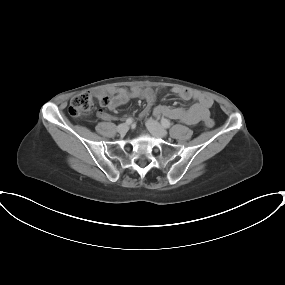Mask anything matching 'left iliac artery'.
Here are the masks:
<instances>
[{"mask_svg":"<svg viewBox=\"0 0 285 285\" xmlns=\"http://www.w3.org/2000/svg\"><path fill=\"white\" fill-rule=\"evenodd\" d=\"M161 124L164 128H170L171 127V123L169 120L162 118L161 119Z\"/></svg>","mask_w":285,"mask_h":285,"instance_id":"left-iliac-artery-1","label":"left iliac artery"}]
</instances>
